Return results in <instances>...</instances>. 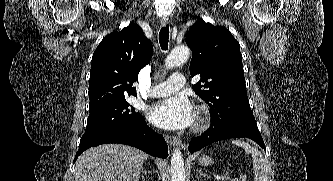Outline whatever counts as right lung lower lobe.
<instances>
[{
  "label": "right lung lower lobe",
  "instance_id": "right-lung-lower-lobe-1",
  "mask_svg": "<svg viewBox=\"0 0 333 181\" xmlns=\"http://www.w3.org/2000/svg\"><path fill=\"white\" fill-rule=\"evenodd\" d=\"M105 143L130 145L155 157L166 158L168 156V146L163 136L149 128L142 117L126 128L83 136L75 160L86 149Z\"/></svg>",
  "mask_w": 333,
  "mask_h": 181
}]
</instances>
